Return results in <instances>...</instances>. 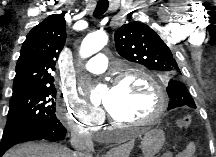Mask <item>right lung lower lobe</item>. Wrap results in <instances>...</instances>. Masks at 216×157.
Listing matches in <instances>:
<instances>
[{"mask_svg":"<svg viewBox=\"0 0 216 157\" xmlns=\"http://www.w3.org/2000/svg\"><path fill=\"white\" fill-rule=\"evenodd\" d=\"M66 136V129L60 122L53 124H39L24 130L2 137L0 145V157L13 145L33 140L59 141Z\"/></svg>","mask_w":216,"mask_h":157,"instance_id":"right-lung-lower-lobe-1","label":"right lung lower lobe"}]
</instances>
